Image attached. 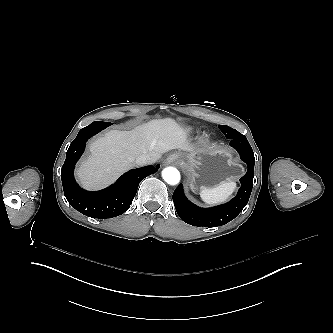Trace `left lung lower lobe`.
<instances>
[{"label":"left lung lower lobe","instance_id":"left-lung-lower-lobe-1","mask_svg":"<svg viewBox=\"0 0 333 333\" xmlns=\"http://www.w3.org/2000/svg\"><path fill=\"white\" fill-rule=\"evenodd\" d=\"M219 128L226 138L230 139V145L238 151L248 170L240 179L241 187L238 194L228 203L216 207L200 208L186 198L182 184L176 188L173 193L176 211L184 222L193 226L214 227L230 222L246 206L252 191L255 158L247 138L233 128Z\"/></svg>","mask_w":333,"mask_h":333}]
</instances>
